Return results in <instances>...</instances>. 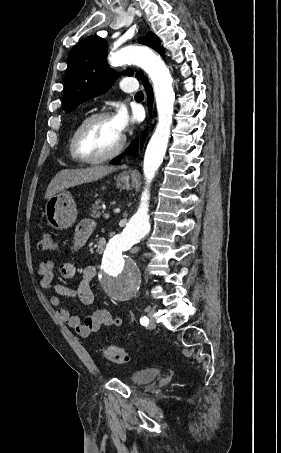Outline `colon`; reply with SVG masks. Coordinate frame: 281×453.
<instances>
[{"label":"colon","mask_w":281,"mask_h":453,"mask_svg":"<svg viewBox=\"0 0 281 453\" xmlns=\"http://www.w3.org/2000/svg\"><path fill=\"white\" fill-rule=\"evenodd\" d=\"M39 250L45 252L46 255H57L58 247L56 242V231L46 230L39 242ZM104 360L107 363H131L136 360L135 356L130 352L119 348H105L102 350Z\"/></svg>","instance_id":"5ec220e1"}]
</instances>
